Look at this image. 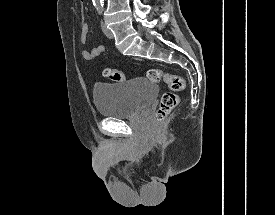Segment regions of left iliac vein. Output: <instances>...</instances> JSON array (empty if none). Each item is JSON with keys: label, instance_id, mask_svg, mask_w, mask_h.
Masks as SVG:
<instances>
[{"label": "left iliac vein", "instance_id": "left-iliac-vein-1", "mask_svg": "<svg viewBox=\"0 0 275 215\" xmlns=\"http://www.w3.org/2000/svg\"><path fill=\"white\" fill-rule=\"evenodd\" d=\"M102 30L104 32V34L108 37V38H113V33L112 31L106 26V24L104 22H102L101 24Z\"/></svg>", "mask_w": 275, "mask_h": 215}]
</instances>
